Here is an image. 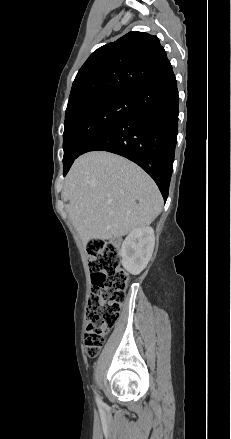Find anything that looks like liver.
<instances>
[{"instance_id":"liver-1","label":"liver","mask_w":231,"mask_h":439,"mask_svg":"<svg viewBox=\"0 0 231 439\" xmlns=\"http://www.w3.org/2000/svg\"><path fill=\"white\" fill-rule=\"evenodd\" d=\"M63 196L84 244L146 227L163 207L161 193L149 175L128 159L103 151L75 160L65 178Z\"/></svg>"}]
</instances>
